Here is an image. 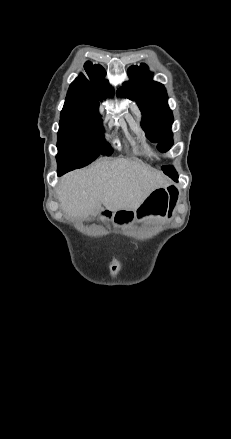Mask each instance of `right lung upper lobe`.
Masks as SVG:
<instances>
[{"label": "right lung upper lobe", "mask_w": 231, "mask_h": 439, "mask_svg": "<svg viewBox=\"0 0 231 439\" xmlns=\"http://www.w3.org/2000/svg\"><path fill=\"white\" fill-rule=\"evenodd\" d=\"M88 79L80 74L70 85L62 111H98L99 102L113 95L101 65L86 62Z\"/></svg>", "instance_id": "obj_1"}]
</instances>
